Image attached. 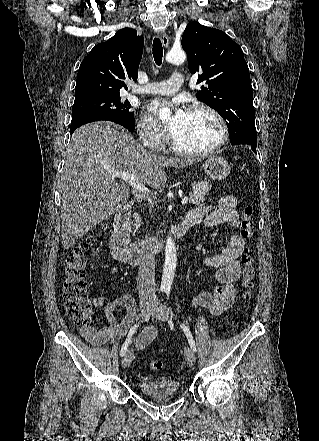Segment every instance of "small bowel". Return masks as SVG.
<instances>
[{"instance_id":"1","label":"small bowel","mask_w":319,"mask_h":441,"mask_svg":"<svg viewBox=\"0 0 319 441\" xmlns=\"http://www.w3.org/2000/svg\"><path fill=\"white\" fill-rule=\"evenodd\" d=\"M237 201L233 195H225L211 206H200L191 210L183 220L188 229L197 225L214 227L226 224L231 228L240 226V218L235 210ZM244 249V240L238 234L232 235L220 254L204 258L203 263L216 269V280L219 285L209 291H203L192 302L195 307H204L212 316H219L228 310L235 300V282L241 275L239 257ZM94 305L103 306L105 324L100 327L83 326L81 335L92 345H104L110 341H119L128 337L130 326L136 315V300L130 294H124L106 304L101 296L92 299ZM117 308H124L125 314L118 322L115 315ZM154 327L145 328L135 341L137 349H143L156 338ZM127 339V338H126Z\"/></svg>"}]
</instances>
